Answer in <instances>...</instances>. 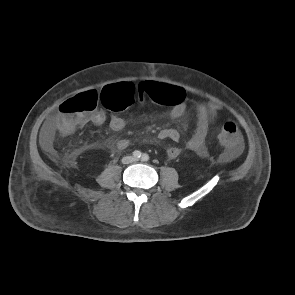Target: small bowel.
Returning <instances> with one entry per match:
<instances>
[{
  "mask_svg": "<svg viewBox=\"0 0 295 295\" xmlns=\"http://www.w3.org/2000/svg\"><path fill=\"white\" fill-rule=\"evenodd\" d=\"M173 87L177 89L178 94L172 104L169 117L171 119L183 118L187 109L185 91L180 87ZM194 110L196 116V129L193 136L187 141L186 147L199 156L206 157L208 155L206 146L208 131L210 126L215 122L220 107L215 103L199 101L195 103ZM105 119L106 115L104 112L94 111L84 120L82 125L87 123L101 125L104 123ZM56 120L57 116L51 117L44 125L40 134V142L48 152L51 151L53 147L54 134L57 130ZM109 126L113 131L119 132L126 127V121L120 116L113 115L110 117ZM158 136L162 140H171L173 142H179L181 139L180 133L172 128L161 130ZM129 145L130 142L127 139H119L115 142V146L119 150H124ZM241 150L242 142L241 138H239L238 145L232 149H228V158L232 159L236 157ZM166 154L169 159H176L181 154V149L178 147H169L166 150Z\"/></svg>",
  "mask_w": 295,
  "mask_h": 295,
  "instance_id": "1",
  "label": "small bowel"
}]
</instances>
